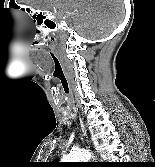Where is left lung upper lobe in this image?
Returning a JSON list of instances; mask_svg holds the SVG:
<instances>
[{"label": "left lung upper lobe", "mask_w": 155, "mask_h": 167, "mask_svg": "<svg viewBox=\"0 0 155 167\" xmlns=\"http://www.w3.org/2000/svg\"><path fill=\"white\" fill-rule=\"evenodd\" d=\"M50 167H64V163H59L57 161H54L52 163L49 164Z\"/></svg>", "instance_id": "left-lung-upper-lobe-1"}]
</instances>
